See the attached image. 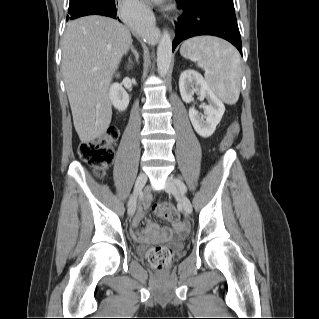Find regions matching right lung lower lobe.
<instances>
[{
    "instance_id": "98d812e1",
    "label": "right lung lower lobe",
    "mask_w": 319,
    "mask_h": 319,
    "mask_svg": "<svg viewBox=\"0 0 319 319\" xmlns=\"http://www.w3.org/2000/svg\"><path fill=\"white\" fill-rule=\"evenodd\" d=\"M118 0H92L82 9L67 17V20H72L87 15H102L111 18L117 17ZM119 20V18H118Z\"/></svg>"
}]
</instances>
